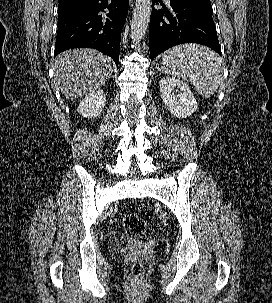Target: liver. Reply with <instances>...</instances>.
<instances>
[{
    "instance_id": "liver-1",
    "label": "liver",
    "mask_w": 272,
    "mask_h": 303,
    "mask_svg": "<svg viewBox=\"0 0 272 303\" xmlns=\"http://www.w3.org/2000/svg\"><path fill=\"white\" fill-rule=\"evenodd\" d=\"M114 62L94 49H72L59 54L54 64V80L66 98L74 100L105 84Z\"/></svg>"
}]
</instances>
